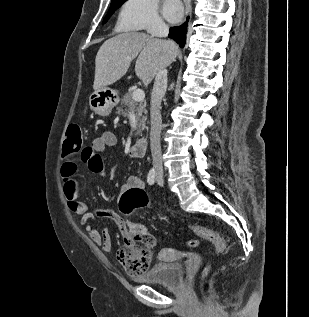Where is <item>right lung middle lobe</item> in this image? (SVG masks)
I'll list each match as a JSON object with an SVG mask.
<instances>
[{"mask_svg":"<svg viewBox=\"0 0 309 317\" xmlns=\"http://www.w3.org/2000/svg\"><path fill=\"white\" fill-rule=\"evenodd\" d=\"M125 1H126V0H112L111 5H110V8H109V11H108L106 17L104 18L103 23H106L107 20L110 18V16L113 14V12H114L117 8H119V7L121 6V4H122L123 2H125Z\"/></svg>","mask_w":309,"mask_h":317,"instance_id":"right-lung-middle-lobe-1","label":"right lung middle lobe"}]
</instances>
